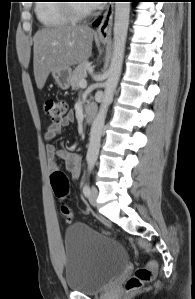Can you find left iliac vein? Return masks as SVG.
Here are the masks:
<instances>
[{
    "mask_svg": "<svg viewBox=\"0 0 195 299\" xmlns=\"http://www.w3.org/2000/svg\"><path fill=\"white\" fill-rule=\"evenodd\" d=\"M98 194H99L98 189L95 186H92L88 197L89 202L92 206H96Z\"/></svg>",
    "mask_w": 195,
    "mask_h": 299,
    "instance_id": "obj_1",
    "label": "left iliac vein"
}]
</instances>
